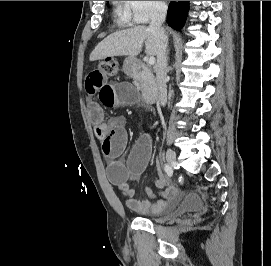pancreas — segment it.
<instances>
[{"label": "pancreas", "instance_id": "1", "mask_svg": "<svg viewBox=\"0 0 271 266\" xmlns=\"http://www.w3.org/2000/svg\"><path fill=\"white\" fill-rule=\"evenodd\" d=\"M134 83L138 88H140V84L137 81H135Z\"/></svg>", "mask_w": 271, "mask_h": 266}]
</instances>
